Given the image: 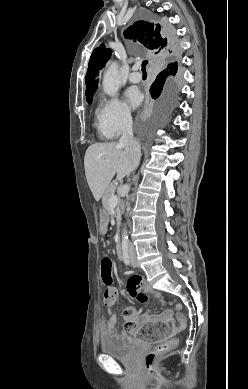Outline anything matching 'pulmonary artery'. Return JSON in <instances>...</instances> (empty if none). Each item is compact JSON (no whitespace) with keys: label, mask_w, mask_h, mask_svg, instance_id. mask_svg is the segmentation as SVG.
<instances>
[{"label":"pulmonary artery","mask_w":248,"mask_h":389,"mask_svg":"<svg viewBox=\"0 0 248 389\" xmlns=\"http://www.w3.org/2000/svg\"><path fill=\"white\" fill-rule=\"evenodd\" d=\"M137 70L138 65H134L132 72L128 76L129 81L132 83H138L142 78L141 74Z\"/></svg>","instance_id":"obj_1"}]
</instances>
